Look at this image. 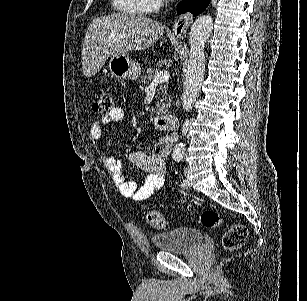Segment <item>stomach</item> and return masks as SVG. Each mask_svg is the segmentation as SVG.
<instances>
[{
    "mask_svg": "<svg viewBox=\"0 0 307 301\" xmlns=\"http://www.w3.org/2000/svg\"><path fill=\"white\" fill-rule=\"evenodd\" d=\"M181 38V36H178ZM109 70L116 78H129L136 80L141 74V66L136 60H132L128 52H116L109 60Z\"/></svg>",
    "mask_w": 307,
    "mask_h": 301,
    "instance_id": "1",
    "label": "stomach"
}]
</instances>
